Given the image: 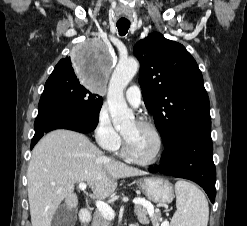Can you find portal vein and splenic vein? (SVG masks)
<instances>
[{
    "label": "portal vein and splenic vein",
    "mask_w": 247,
    "mask_h": 226,
    "mask_svg": "<svg viewBox=\"0 0 247 226\" xmlns=\"http://www.w3.org/2000/svg\"><path fill=\"white\" fill-rule=\"evenodd\" d=\"M79 189L81 191H84L87 187L86 183L85 182H81L79 183ZM133 203L134 204H141V205H144L146 206V201L142 198H135L133 199ZM96 207L98 209V211L106 218V219H113L115 217V212L114 210L105 202L103 201H99L97 200L96 201ZM148 209L151 211V212H154V208L152 205H148ZM162 226H169V222L168 221H164L162 223Z\"/></svg>",
    "instance_id": "obj_1"
}]
</instances>
